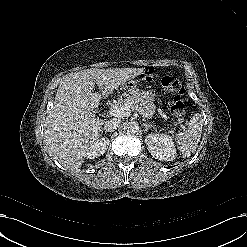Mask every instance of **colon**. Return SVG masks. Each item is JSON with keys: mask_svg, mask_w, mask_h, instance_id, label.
<instances>
[{"mask_svg": "<svg viewBox=\"0 0 247 247\" xmlns=\"http://www.w3.org/2000/svg\"><path fill=\"white\" fill-rule=\"evenodd\" d=\"M161 85L166 91L174 94L170 112L176 117H184L186 114L185 87L182 82L176 76L166 75L161 78Z\"/></svg>", "mask_w": 247, "mask_h": 247, "instance_id": "obj_1", "label": "colon"}]
</instances>
